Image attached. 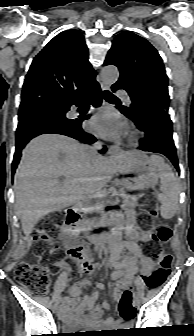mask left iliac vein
<instances>
[{"label": "left iliac vein", "mask_w": 194, "mask_h": 336, "mask_svg": "<svg viewBox=\"0 0 194 336\" xmlns=\"http://www.w3.org/2000/svg\"><path fill=\"white\" fill-rule=\"evenodd\" d=\"M139 303H140L139 299L136 298L134 304H135L136 306H138Z\"/></svg>", "instance_id": "1"}]
</instances>
